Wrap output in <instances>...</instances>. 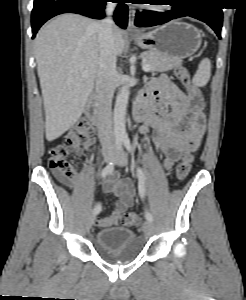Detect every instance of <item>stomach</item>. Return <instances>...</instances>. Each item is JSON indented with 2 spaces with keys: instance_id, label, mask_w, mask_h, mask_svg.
I'll return each mask as SVG.
<instances>
[{
  "instance_id": "0dacf381",
  "label": "stomach",
  "mask_w": 246,
  "mask_h": 300,
  "mask_svg": "<svg viewBox=\"0 0 246 300\" xmlns=\"http://www.w3.org/2000/svg\"><path fill=\"white\" fill-rule=\"evenodd\" d=\"M136 44L147 51L160 53L172 61L192 56L201 46L200 31L189 23L171 21L134 37Z\"/></svg>"
}]
</instances>
